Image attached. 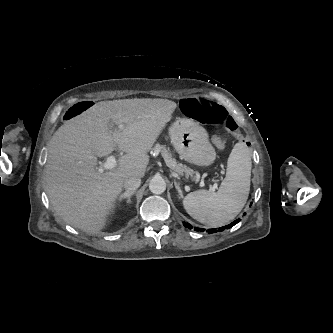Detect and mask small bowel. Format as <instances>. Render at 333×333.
I'll return each instance as SVG.
<instances>
[{
	"mask_svg": "<svg viewBox=\"0 0 333 333\" xmlns=\"http://www.w3.org/2000/svg\"><path fill=\"white\" fill-rule=\"evenodd\" d=\"M210 142L213 147L223 149L228 146L229 138L225 134L216 133L211 136Z\"/></svg>",
	"mask_w": 333,
	"mask_h": 333,
	"instance_id": "1",
	"label": "small bowel"
}]
</instances>
